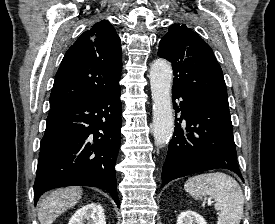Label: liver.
I'll use <instances>...</instances> for the list:
<instances>
[{
  "label": "liver",
  "instance_id": "obj_1",
  "mask_svg": "<svg viewBox=\"0 0 275 224\" xmlns=\"http://www.w3.org/2000/svg\"><path fill=\"white\" fill-rule=\"evenodd\" d=\"M81 196V187H67L57 189L41 197L38 202L40 224H52L59 215L75 206Z\"/></svg>",
  "mask_w": 275,
  "mask_h": 224
}]
</instances>
